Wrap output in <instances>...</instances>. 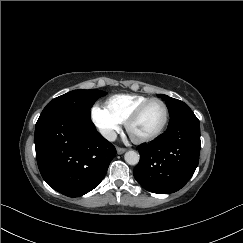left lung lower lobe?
Segmentation results:
<instances>
[{"mask_svg":"<svg viewBox=\"0 0 243 243\" xmlns=\"http://www.w3.org/2000/svg\"><path fill=\"white\" fill-rule=\"evenodd\" d=\"M200 125L195 115L169 125L150 144L138 147L140 161L133 170L137 182L147 191L168 194L181 189L199 162Z\"/></svg>","mask_w":243,"mask_h":243,"instance_id":"obj_1","label":"left lung lower lobe"}]
</instances>
